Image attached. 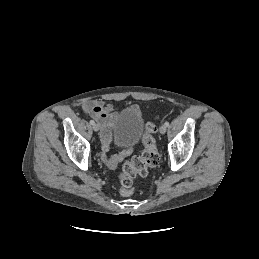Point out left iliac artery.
<instances>
[{
    "mask_svg": "<svg viewBox=\"0 0 259 259\" xmlns=\"http://www.w3.org/2000/svg\"><path fill=\"white\" fill-rule=\"evenodd\" d=\"M164 125H165L166 127H168V126H169V122L166 121V122L164 123Z\"/></svg>",
    "mask_w": 259,
    "mask_h": 259,
    "instance_id": "1",
    "label": "left iliac artery"
}]
</instances>
